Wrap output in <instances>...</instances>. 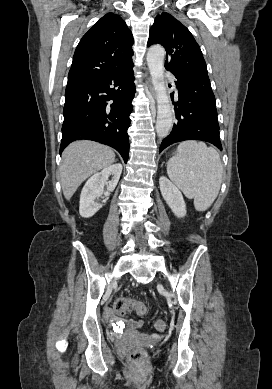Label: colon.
<instances>
[{
    "label": "colon",
    "instance_id": "5ec220e1",
    "mask_svg": "<svg viewBox=\"0 0 272 389\" xmlns=\"http://www.w3.org/2000/svg\"><path fill=\"white\" fill-rule=\"evenodd\" d=\"M114 312L118 316H125L131 312H135L137 315H145L147 312V306L138 300L128 297L118 298L114 303ZM155 328L158 331H163L166 328V323L163 320H157L155 322ZM128 359L134 366H142L146 362V352L142 348L133 349L128 355Z\"/></svg>",
    "mask_w": 272,
    "mask_h": 389
}]
</instances>
